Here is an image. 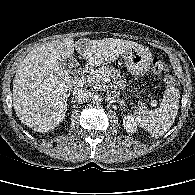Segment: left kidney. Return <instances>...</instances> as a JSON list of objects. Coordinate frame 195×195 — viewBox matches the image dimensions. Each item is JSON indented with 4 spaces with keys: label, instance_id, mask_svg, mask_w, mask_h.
I'll list each match as a JSON object with an SVG mask.
<instances>
[{
    "label": "left kidney",
    "instance_id": "left-kidney-1",
    "mask_svg": "<svg viewBox=\"0 0 195 195\" xmlns=\"http://www.w3.org/2000/svg\"><path fill=\"white\" fill-rule=\"evenodd\" d=\"M123 126L129 133H134L137 130L136 120L133 115H127L123 119Z\"/></svg>",
    "mask_w": 195,
    "mask_h": 195
}]
</instances>
